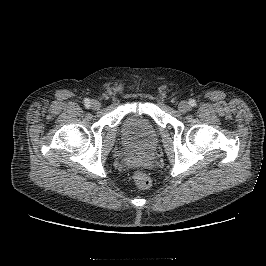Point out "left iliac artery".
<instances>
[{
    "label": "left iliac artery",
    "mask_w": 266,
    "mask_h": 266,
    "mask_svg": "<svg viewBox=\"0 0 266 266\" xmlns=\"http://www.w3.org/2000/svg\"><path fill=\"white\" fill-rule=\"evenodd\" d=\"M189 103H190L191 106H195L196 105L195 100H190Z\"/></svg>",
    "instance_id": "1"
}]
</instances>
